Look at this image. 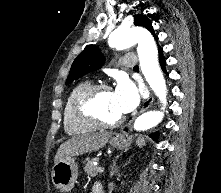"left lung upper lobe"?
<instances>
[{"label":"left lung upper lobe","instance_id":"obj_1","mask_svg":"<svg viewBox=\"0 0 221 193\" xmlns=\"http://www.w3.org/2000/svg\"><path fill=\"white\" fill-rule=\"evenodd\" d=\"M134 24L136 26H143L153 33L155 39H158L153 32L152 23L144 15H135ZM105 62V58L95 45H88L74 60L70 73L66 80V85L80 77L100 69Z\"/></svg>","mask_w":221,"mask_h":193}]
</instances>
